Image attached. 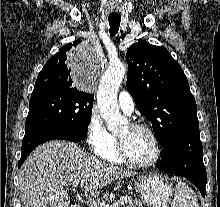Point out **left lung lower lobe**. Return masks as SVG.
<instances>
[{
	"mask_svg": "<svg viewBox=\"0 0 220 207\" xmlns=\"http://www.w3.org/2000/svg\"><path fill=\"white\" fill-rule=\"evenodd\" d=\"M157 167L187 178L205 197L206 169L199 128L184 130L163 146L161 161Z\"/></svg>",
	"mask_w": 220,
	"mask_h": 207,
	"instance_id": "0a47b994",
	"label": "left lung lower lobe"
}]
</instances>
